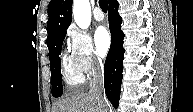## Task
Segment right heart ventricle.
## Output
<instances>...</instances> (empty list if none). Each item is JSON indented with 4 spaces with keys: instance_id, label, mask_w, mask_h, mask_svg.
<instances>
[{
    "instance_id": "right-heart-ventricle-1",
    "label": "right heart ventricle",
    "mask_w": 193,
    "mask_h": 112,
    "mask_svg": "<svg viewBox=\"0 0 193 112\" xmlns=\"http://www.w3.org/2000/svg\"><path fill=\"white\" fill-rule=\"evenodd\" d=\"M61 72L63 81L67 86L77 87L83 83V75L77 69L72 57L67 54L61 58Z\"/></svg>"
}]
</instances>
